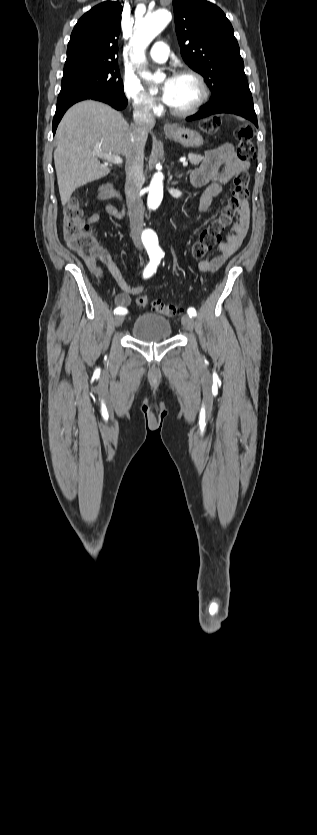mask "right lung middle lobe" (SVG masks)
I'll return each instance as SVG.
<instances>
[{"label":"right lung middle lobe","instance_id":"1","mask_svg":"<svg viewBox=\"0 0 317 835\" xmlns=\"http://www.w3.org/2000/svg\"><path fill=\"white\" fill-rule=\"evenodd\" d=\"M111 91L124 95L118 64L73 62L65 64L57 103L80 95Z\"/></svg>","mask_w":317,"mask_h":835}]
</instances>
